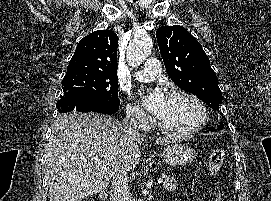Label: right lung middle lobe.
Returning a JSON list of instances; mask_svg holds the SVG:
<instances>
[{"label": "right lung middle lobe", "mask_w": 271, "mask_h": 201, "mask_svg": "<svg viewBox=\"0 0 271 201\" xmlns=\"http://www.w3.org/2000/svg\"><path fill=\"white\" fill-rule=\"evenodd\" d=\"M117 85V75L89 71L67 72L62 81V96L112 101L118 98Z\"/></svg>", "instance_id": "obj_1"}]
</instances>
